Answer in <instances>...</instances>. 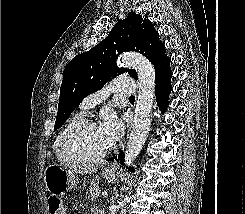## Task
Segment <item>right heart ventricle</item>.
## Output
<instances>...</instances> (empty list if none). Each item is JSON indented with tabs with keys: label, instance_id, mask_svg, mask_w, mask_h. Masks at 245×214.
Returning <instances> with one entry per match:
<instances>
[{
	"label": "right heart ventricle",
	"instance_id": "obj_1",
	"mask_svg": "<svg viewBox=\"0 0 245 214\" xmlns=\"http://www.w3.org/2000/svg\"><path fill=\"white\" fill-rule=\"evenodd\" d=\"M85 112L81 109V111L75 112L74 114H72L67 121L65 122V124L63 125V127L61 128V130L59 131V133L57 134L54 142H53V151L57 157V159L66 165H72L75 162L73 160H71L70 158H68L62 149V143H63V139L66 135V133L79 121H81L84 117Z\"/></svg>",
	"mask_w": 245,
	"mask_h": 214
}]
</instances>
